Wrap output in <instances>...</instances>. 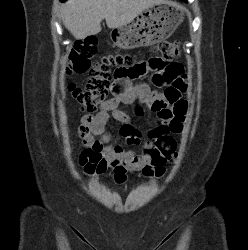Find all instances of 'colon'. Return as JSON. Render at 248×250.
I'll return each instance as SVG.
<instances>
[{
  "label": "colon",
  "instance_id": "colon-1",
  "mask_svg": "<svg viewBox=\"0 0 248 250\" xmlns=\"http://www.w3.org/2000/svg\"><path fill=\"white\" fill-rule=\"evenodd\" d=\"M154 49L156 57L150 60V65L156 72L152 77V82L157 88H165L163 94L166 99L165 102H159L154 107L175 104V110L180 112L183 110V102L180 95L171 86L175 76L159 71L160 64L164 60H173L179 56V43L176 41H161L154 46ZM96 51L97 44L94 39L76 43L70 52L66 67L67 74L87 72L90 74V79L84 88L74 83L69 84L71 95L86 112L96 111L105 102L112 82L111 68L126 69L122 72V75L137 78V63L133 55L113 52L93 61ZM138 111L141 112V109L138 108ZM176 155L175 139L171 133L157 135L154 142L152 162L144 169V172L149 175L163 174L165 166L171 163ZM95 157L96 153L92 149H85L81 153V162L85 166Z\"/></svg>",
  "mask_w": 248,
  "mask_h": 250
}]
</instances>
